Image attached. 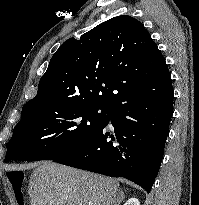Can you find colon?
<instances>
[{
    "label": "colon",
    "mask_w": 199,
    "mask_h": 205,
    "mask_svg": "<svg viewBox=\"0 0 199 205\" xmlns=\"http://www.w3.org/2000/svg\"><path fill=\"white\" fill-rule=\"evenodd\" d=\"M8 179L10 184L12 185L16 197H21L22 185L25 181V174L21 171H12L8 173Z\"/></svg>",
    "instance_id": "5ec220e1"
}]
</instances>
